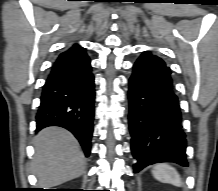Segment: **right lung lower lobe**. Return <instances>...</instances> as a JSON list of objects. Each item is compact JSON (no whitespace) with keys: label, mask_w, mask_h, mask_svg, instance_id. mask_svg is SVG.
<instances>
[{"label":"right lung lower lobe","mask_w":218,"mask_h":191,"mask_svg":"<svg viewBox=\"0 0 218 191\" xmlns=\"http://www.w3.org/2000/svg\"><path fill=\"white\" fill-rule=\"evenodd\" d=\"M94 101L90 59L82 47L74 45L59 55L43 86L36 130L48 126L68 129L79 140L88 157L93 133Z\"/></svg>","instance_id":"1"}]
</instances>
